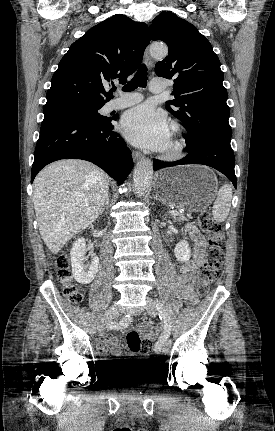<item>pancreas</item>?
Returning a JSON list of instances; mask_svg holds the SVG:
<instances>
[{
  "mask_svg": "<svg viewBox=\"0 0 275 431\" xmlns=\"http://www.w3.org/2000/svg\"><path fill=\"white\" fill-rule=\"evenodd\" d=\"M190 217H186L183 214H179V215H174V219L178 222H184V221H188Z\"/></svg>",
  "mask_w": 275,
  "mask_h": 431,
  "instance_id": "cf45deb5",
  "label": "pancreas"
}]
</instances>
